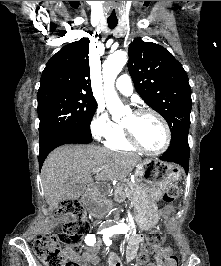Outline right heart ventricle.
<instances>
[{
	"instance_id": "obj_1",
	"label": "right heart ventricle",
	"mask_w": 221,
	"mask_h": 266,
	"mask_svg": "<svg viewBox=\"0 0 221 266\" xmlns=\"http://www.w3.org/2000/svg\"><path fill=\"white\" fill-rule=\"evenodd\" d=\"M105 146L114 151L130 152L134 151V147L127 141L124 130L121 126L117 125L116 132L108 137L105 142Z\"/></svg>"
}]
</instances>
